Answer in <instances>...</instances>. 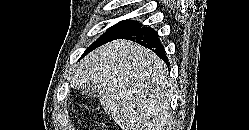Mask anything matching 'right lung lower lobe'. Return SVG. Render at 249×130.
<instances>
[{"mask_svg":"<svg viewBox=\"0 0 249 130\" xmlns=\"http://www.w3.org/2000/svg\"><path fill=\"white\" fill-rule=\"evenodd\" d=\"M116 39H128L155 52L165 63L169 64L164 48L157 36V32L151 27H140ZM87 54V53H86ZM85 54H83L84 56Z\"/></svg>","mask_w":249,"mask_h":130,"instance_id":"1","label":"right lung lower lobe"}]
</instances>
